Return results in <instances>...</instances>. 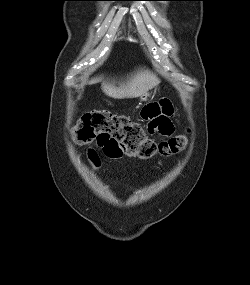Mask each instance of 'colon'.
Wrapping results in <instances>:
<instances>
[{
  "instance_id": "1",
  "label": "colon",
  "mask_w": 250,
  "mask_h": 285,
  "mask_svg": "<svg viewBox=\"0 0 250 285\" xmlns=\"http://www.w3.org/2000/svg\"><path fill=\"white\" fill-rule=\"evenodd\" d=\"M73 138L79 144L95 142L111 158L122 155L141 159L155 155L167 157L183 150L187 142L184 135L155 141L139 123L108 110L85 113L74 127Z\"/></svg>"
}]
</instances>
